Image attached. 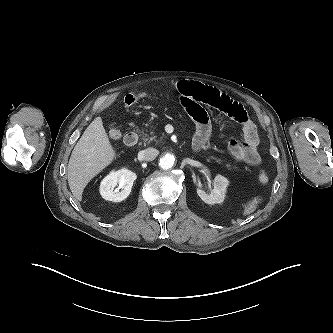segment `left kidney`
Segmentation results:
<instances>
[{"label":"left kidney","instance_id":"1","mask_svg":"<svg viewBox=\"0 0 333 333\" xmlns=\"http://www.w3.org/2000/svg\"><path fill=\"white\" fill-rule=\"evenodd\" d=\"M229 181L222 175H216L214 179V189L210 194H207L201 188L197 189L198 196L207 204H221L225 199L226 188Z\"/></svg>","mask_w":333,"mask_h":333}]
</instances>
